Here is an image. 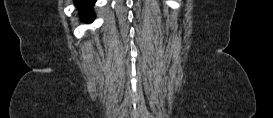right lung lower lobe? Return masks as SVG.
<instances>
[{
  "label": "right lung lower lobe",
  "mask_w": 273,
  "mask_h": 118,
  "mask_svg": "<svg viewBox=\"0 0 273 118\" xmlns=\"http://www.w3.org/2000/svg\"><path fill=\"white\" fill-rule=\"evenodd\" d=\"M96 0H74L75 6L79 9V14L82 21L90 23L95 18V14L92 11Z\"/></svg>",
  "instance_id": "right-lung-lower-lobe-1"
}]
</instances>
